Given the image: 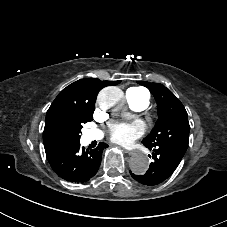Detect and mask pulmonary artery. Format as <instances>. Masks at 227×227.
Here are the masks:
<instances>
[{
  "mask_svg": "<svg viewBox=\"0 0 227 227\" xmlns=\"http://www.w3.org/2000/svg\"><path fill=\"white\" fill-rule=\"evenodd\" d=\"M125 98H126L127 102L135 109H144L148 105V100L146 97L141 96V95L136 94L131 91L126 92ZM85 137L89 141L101 140L103 137V134L101 131L92 130V131H89L88 133H86Z\"/></svg>",
  "mask_w": 227,
  "mask_h": 227,
  "instance_id": "obj_1",
  "label": "pulmonary artery"
}]
</instances>
